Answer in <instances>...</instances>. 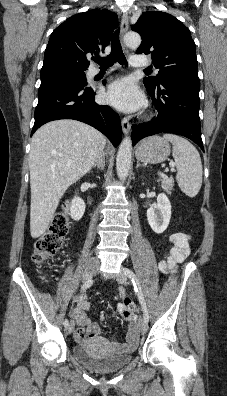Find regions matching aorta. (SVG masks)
Masks as SVG:
<instances>
[{
    "label": "aorta",
    "mask_w": 227,
    "mask_h": 396,
    "mask_svg": "<svg viewBox=\"0 0 227 396\" xmlns=\"http://www.w3.org/2000/svg\"><path fill=\"white\" fill-rule=\"evenodd\" d=\"M124 42L128 47L138 48L141 44V37L136 32H129L124 36ZM132 141L130 137H125L118 149L116 159V171L121 180L128 177L131 167Z\"/></svg>",
    "instance_id": "762f6f07"
}]
</instances>
